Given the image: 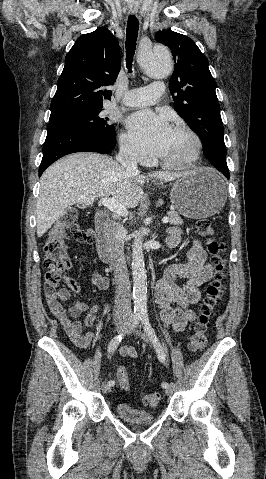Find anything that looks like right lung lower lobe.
Returning <instances> with one entry per match:
<instances>
[{"instance_id": "obj_1", "label": "right lung lower lobe", "mask_w": 266, "mask_h": 479, "mask_svg": "<svg viewBox=\"0 0 266 479\" xmlns=\"http://www.w3.org/2000/svg\"><path fill=\"white\" fill-rule=\"evenodd\" d=\"M47 137L43 147V158L39 168V176L57 159L75 152L109 153L115 147L114 135H105L81 128L49 124Z\"/></svg>"}]
</instances>
